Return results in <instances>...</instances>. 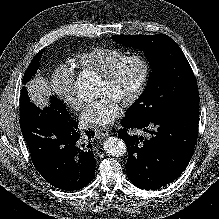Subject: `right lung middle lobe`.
Segmentation results:
<instances>
[{"mask_svg": "<svg viewBox=\"0 0 219 219\" xmlns=\"http://www.w3.org/2000/svg\"><path fill=\"white\" fill-rule=\"evenodd\" d=\"M42 52H43V50H41L32 59L30 65L28 66V68L24 74L23 83H26L27 81H29L31 79V77L34 76L35 73L37 72V69L39 68V61L41 59ZM50 105H52L53 107H55L59 110L66 111V108L64 107V104L62 103V101L55 96L51 97Z\"/></svg>", "mask_w": 219, "mask_h": 219, "instance_id": "right-lung-middle-lobe-1", "label": "right lung middle lobe"}]
</instances>
